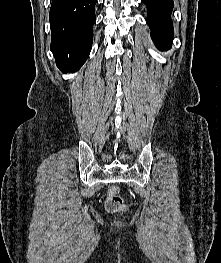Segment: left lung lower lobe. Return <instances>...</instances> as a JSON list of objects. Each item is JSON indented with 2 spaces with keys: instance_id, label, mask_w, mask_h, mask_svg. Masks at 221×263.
Here are the masks:
<instances>
[{
  "instance_id": "left-lung-lower-lobe-1",
  "label": "left lung lower lobe",
  "mask_w": 221,
  "mask_h": 263,
  "mask_svg": "<svg viewBox=\"0 0 221 263\" xmlns=\"http://www.w3.org/2000/svg\"><path fill=\"white\" fill-rule=\"evenodd\" d=\"M147 6V22L152 31V40L160 50H167L173 41L171 12L173 0H142Z\"/></svg>"
}]
</instances>
